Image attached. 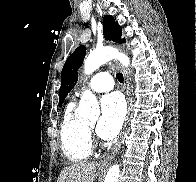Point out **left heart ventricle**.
I'll return each instance as SVG.
<instances>
[{
    "instance_id": "1",
    "label": "left heart ventricle",
    "mask_w": 196,
    "mask_h": 182,
    "mask_svg": "<svg viewBox=\"0 0 196 182\" xmlns=\"http://www.w3.org/2000/svg\"><path fill=\"white\" fill-rule=\"evenodd\" d=\"M91 126H93L94 125V122H91V123H89Z\"/></svg>"
}]
</instances>
